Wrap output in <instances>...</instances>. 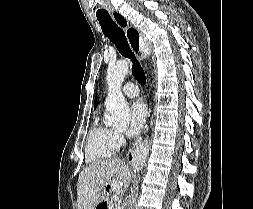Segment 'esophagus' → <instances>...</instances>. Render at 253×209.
I'll list each match as a JSON object with an SVG mask.
<instances>
[{
    "instance_id": "obj_1",
    "label": "esophagus",
    "mask_w": 253,
    "mask_h": 209,
    "mask_svg": "<svg viewBox=\"0 0 253 209\" xmlns=\"http://www.w3.org/2000/svg\"><path fill=\"white\" fill-rule=\"evenodd\" d=\"M111 15L116 24L125 29L127 38L134 53L139 59H143V49L145 47V41L139 30L136 27L130 25L127 18H125L118 11H113ZM139 143L140 140H137L127 154L128 161L132 164H134L133 155Z\"/></svg>"
}]
</instances>
